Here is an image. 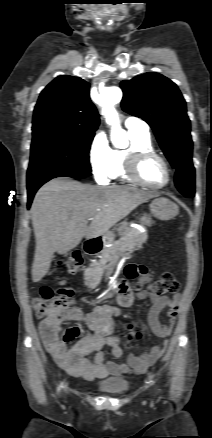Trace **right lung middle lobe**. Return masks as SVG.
Listing matches in <instances>:
<instances>
[{
  "label": "right lung middle lobe",
  "instance_id": "dd1d6c3e",
  "mask_svg": "<svg viewBox=\"0 0 212 438\" xmlns=\"http://www.w3.org/2000/svg\"><path fill=\"white\" fill-rule=\"evenodd\" d=\"M94 132L65 129L33 131L28 172L44 169L91 171L90 145Z\"/></svg>",
  "mask_w": 212,
  "mask_h": 438
}]
</instances>
